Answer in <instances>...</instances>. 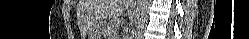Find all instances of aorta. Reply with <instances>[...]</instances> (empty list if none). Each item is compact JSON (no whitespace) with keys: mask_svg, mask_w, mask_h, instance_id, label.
I'll use <instances>...</instances> for the list:
<instances>
[{"mask_svg":"<svg viewBox=\"0 0 249 39\" xmlns=\"http://www.w3.org/2000/svg\"><path fill=\"white\" fill-rule=\"evenodd\" d=\"M150 3L151 0H137L134 28L132 30L133 39H140L143 36L144 28L147 23Z\"/></svg>","mask_w":249,"mask_h":39,"instance_id":"obj_1","label":"aorta"}]
</instances>
